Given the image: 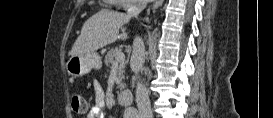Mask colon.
Masks as SVG:
<instances>
[{
    "instance_id": "obj_1",
    "label": "colon",
    "mask_w": 273,
    "mask_h": 118,
    "mask_svg": "<svg viewBox=\"0 0 273 118\" xmlns=\"http://www.w3.org/2000/svg\"><path fill=\"white\" fill-rule=\"evenodd\" d=\"M71 107L76 114H84L87 111V104L85 99L78 94L72 97Z\"/></svg>"
}]
</instances>
